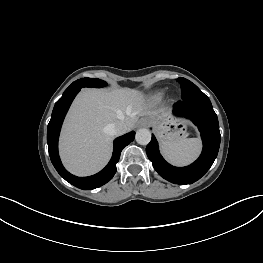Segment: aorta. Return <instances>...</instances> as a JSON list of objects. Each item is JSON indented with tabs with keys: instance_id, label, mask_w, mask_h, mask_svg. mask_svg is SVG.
Masks as SVG:
<instances>
[{
	"instance_id": "1",
	"label": "aorta",
	"mask_w": 263,
	"mask_h": 263,
	"mask_svg": "<svg viewBox=\"0 0 263 263\" xmlns=\"http://www.w3.org/2000/svg\"><path fill=\"white\" fill-rule=\"evenodd\" d=\"M135 139L138 144L147 145L151 141V132L145 128L139 129L136 132Z\"/></svg>"
}]
</instances>
